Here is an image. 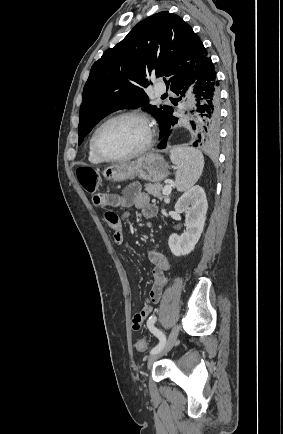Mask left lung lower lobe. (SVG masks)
<instances>
[{
  "instance_id": "obj_1",
  "label": "left lung lower lobe",
  "mask_w": 283,
  "mask_h": 434,
  "mask_svg": "<svg viewBox=\"0 0 283 434\" xmlns=\"http://www.w3.org/2000/svg\"><path fill=\"white\" fill-rule=\"evenodd\" d=\"M191 84H194L193 90L196 97L194 116L189 122L192 128L193 146L214 149L219 144L220 93L219 82L211 58L200 65L188 79L171 88V91L177 95L185 94ZM172 112L173 109L160 134V139H162L158 146L160 149L166 147L171 128L178 123V119L172 115Z\"/></svg>"
}]
</instances>
